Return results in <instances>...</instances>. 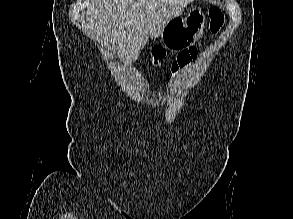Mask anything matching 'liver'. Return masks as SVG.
<instances>
[{"mask_svg": "<svg viewBox=\"0 0 293 219\" xmlns=\"http://www.w3.org/2000/svg\"><path fill=\"white\" fill-rule=\"evenodd\" d=\"M193 1L91 0L85 32L103 52L117 55L124 66H131L149 37H159L167 22L182 15Z\"/></svg>", "mask_w": 293, "mask_h": 219, "instance_id": "liver-1", "label": "liver"}]
</instances>
